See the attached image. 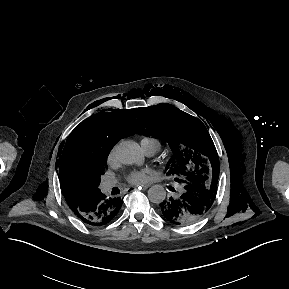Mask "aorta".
<instances>
[{
  "instance_id": "762f6f07",
  "label": "aorta",
  "mask_w": 289,
  "mask_h": 289,
  "mask_svg": "<svg viewBox=\"0 0 289 289\" xmlns=\"http://www.w3.org/2000/svg\"><path fill=\"white\" fill-rule=\"evenodd\" d=\"M116 152L118 159L123 164H141L144 161V155L140 146L132 140L120 141L117 145ZM148 198L152 203H162L166 198L165 188L161 185H153L148 190Z\"/></svg>"
}]
</instances>
